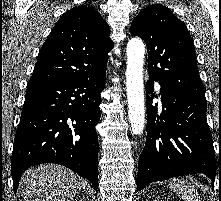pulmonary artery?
<instances>
[{
	"label": "pulmonary artery",
	"mask_w": 221,
	"mask_h": 201,
	"mask_svg": "<svg viewBox=\"0 0 221 201\" xmlns=\"http://www.w3.org/2000/svg\"><path fill=\"white\" fill-rule=\"evenodd\" d=\"M155 88H156V90L159 92V90H160V85H159V84H156Z\"/></svg>",
	"instance_id": "e3ab8cb5"
}]
</instances>
